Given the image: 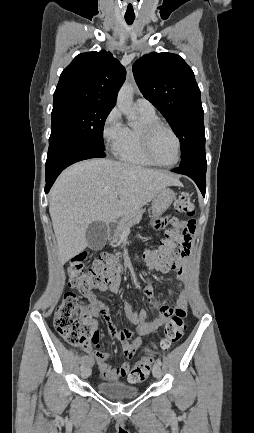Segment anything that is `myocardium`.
Instances as JSON below:
<instances>
[{"label": "myocardium", "instance_id": "myocardium-1", "mask_svg": "<svg viewBox=\"0 0 254 433\" xmlns=\"http://www.w3.org/2000/svg\"><path fill=\"white\" fill-rule=\"evenodd\" d=\"M159 129L167 130L174 137L176 144H177L176 159L174 162H172L170 164H163V163L159 162L156 159V157L154 156L153 151H152V138H153V135L155 134V132ZM140 137H141V144H142L143 152L152 164L159 166V167L172 168L179 163V161L181 159V153H182L181 141H180V138L177 135V133L169 125H167L166 123H163L159 120L154 121V122L145 123L142 125V127L140 129Z\"/></svg>", "mask_w": 254, "mask_h": 433}]
</instances>
